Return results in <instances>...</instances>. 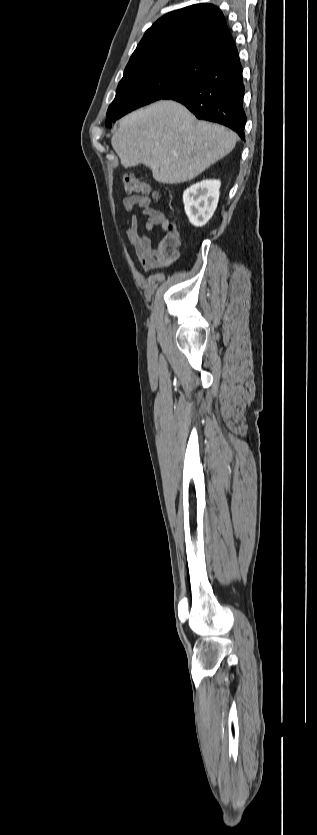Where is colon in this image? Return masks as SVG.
Returning a JSON list of instances; mask_svg holds the SVG:
<instances>
[{
	"mask_svg": "<svg viewBox=\"0 0 317 835\" xmlns=\"http://www.w3.org/2000/svg\"><path fill=\"white\" fill-rule=\"evenodd\" d=\"M122 182L126 193L138 195H156V193L152 191V188L147 182L138 178L134 174H125L123 176ZM165 231L166 234L161 240L158 249L164 257L168 259H174L177 256L178 248L181 244L180 232L177 229L176 225L172 222H169L167 224Z\"/></svg>",
	"mask_w": 317,
	"mask_h": 835,
	"instance_id": "5ec220e1",
	"label": "colon"
}]
</instances>
